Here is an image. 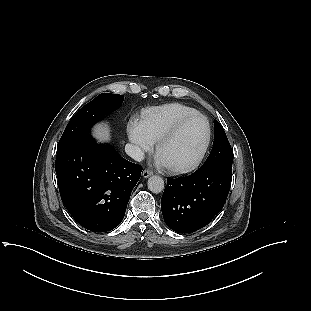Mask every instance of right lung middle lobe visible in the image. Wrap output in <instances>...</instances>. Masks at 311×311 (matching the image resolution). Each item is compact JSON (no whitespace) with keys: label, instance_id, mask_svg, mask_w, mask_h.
Listing matches in <instances>:
<instances>
[{"label":"right lung middle lobe","instance_id":"dd1d6c3e","mask_svg":"<svg viewBox=\"0 0 311 311\" xmlns=\"http://www.w3.org/2000/svg\"><path fill=\"white\" fill-rule=\"evenodd\" d=\"M123 102L122 95L102 93L82 107L69 121L57 146V151L77 139L88 136L92 125L108 112L117 109Z\"/></svg>","mask_w":311,"mask_h":311}]
</instances>
